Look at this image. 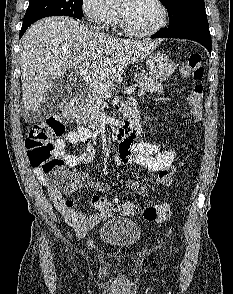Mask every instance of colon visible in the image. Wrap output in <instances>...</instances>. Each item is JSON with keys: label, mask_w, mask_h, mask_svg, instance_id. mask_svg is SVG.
I'll return each mask as SVG.
<instances>
[{"label": "colon", "mask_w": 233, "mask_h": 294, "mask_svg": "<svg viewBox=\"0 0 233 294\" xmlns=\"http://www.w3.org/2000/svg\"><path fill=\"white\" fill-rule=\"evenodd\" d=\"M182 73L193 81L188 104L195 120L200 121L203 116L204 98L202 56L198 53L190 54L182 66ZM64 132L63 120L58 115L49 116L34 124L26 138L25 146L31 166L47 176L54 188L60 191H73L77 188L76 179L66 170V161L58 154L55 144V138ZM112 204L117 205V202ZM122 209L128 215L139 212V207L134 203H125ZM142 214L147 220L164 223L169 219L171 209L168 204H154L144 208Z\"/></svg>", "instance_id": "colon-1"}]
</instances>
